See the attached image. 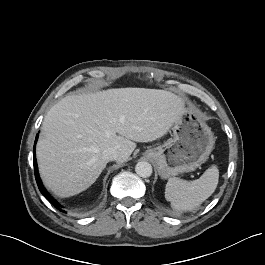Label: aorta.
Segmentation results:
<instances>
[{"label": "aorta", "mask_w": 265, "mask_h": 265, "mask_svg": "<svg viewBox=\"0 0 265 265\" xmlns=\"http://www.w3.org/2000/svg\"><path fill=\"white\" fill-rule=\"evenodd\" d=\"M135 171L142 178L150 177L152 174V166L146 161H140L136 164Z\"/></svg>", "instance_id": "obj_1"}]
</instances>
